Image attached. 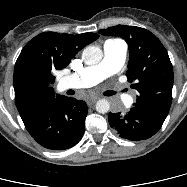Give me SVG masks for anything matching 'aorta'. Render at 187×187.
Wrapping results in <instances>:
<instances>
[{"mask_svg":"<svg viewBox=\"0 0 187 187\" xmlns=\"http://www.w3.org/2000/svg\"><path fill=\"white\" fill-rule=\"evenodd\" d=\"M103 57L102 50L97 46H88L83 50L82 58L87 65L98 64ZM110 109V103L106 99H100L96 103V110L101 114H105Z\"/></svg>","mask_w":187,"mask_h":187,"instance_id":"1","label":"aorta"}]
</instances>
